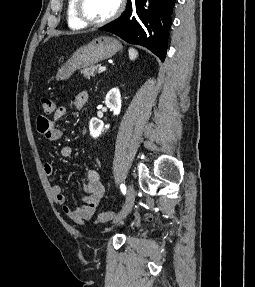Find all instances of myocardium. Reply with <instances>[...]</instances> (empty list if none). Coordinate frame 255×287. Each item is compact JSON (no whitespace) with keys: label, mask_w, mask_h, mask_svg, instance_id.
Here are the masks:
<instances>
[{"label":"myocardium","mask_w":255,"mask_h":287,"mask_svg":"<svg viewBox=\"0 0 255 287\" xmlns=\"http://www.w3.org/2000/svg\"><path fill=\"white\" fill-rule=\"evenodd\" d=\"M94 23V22H91ZM89 33H94V32H89ZM113 33H118V32H113ZM88 39H97V38H88ZM109 39H123V38H109ZM122 48H127V47H122ZM129 48H145V47H129Z\"/></svg>","instance_id":"f54148a6"}]
</instances>
